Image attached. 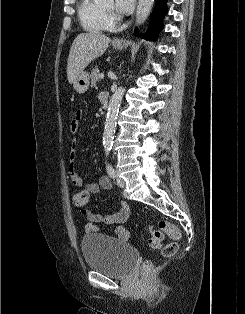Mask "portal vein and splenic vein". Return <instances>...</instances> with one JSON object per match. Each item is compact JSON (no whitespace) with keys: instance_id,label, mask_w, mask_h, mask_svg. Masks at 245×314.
<instances>
[{"instance_id":"1","label":"portal vein and splenic vein","mask_w":245,"mask_h":314,"mask_svg":"<svg viewBox=\"0 0 245 314\" xmlns=\"http://www.w3.org/2000/svg\"><path fill=\"white\" fill-rule=\"evenodd\" d=\"M99 78L103 79L104 78V74L103 73L99 74Z\"/></svg>"}]
</instances>
